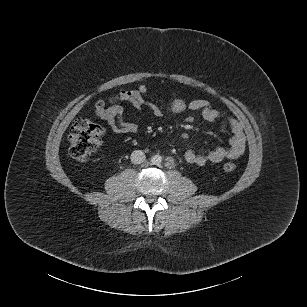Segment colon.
Instances as JSON below:
<instances>
[{
  "label": "colon",
  "mask_w": 307,
  "mask_h": 307,
  "mask_svg": "<svg viewBox=\"0 0 307 307\" xmlns=\"http://www.w3.org/2000/svg\"><path fill=\"white\" fill-rule=\"evenodd\" d=\"M102 108H104V104L98 102L96 104V110ZM103 134V128L91 122L89 119L81 118L76 120L68 135L71 156L79 162L89 160L99 150ZM223 169L226 172H233L236 166L233 163H226L223 165Z\"/></svg>",
  "instance_id": "1"
}]
</instances>
